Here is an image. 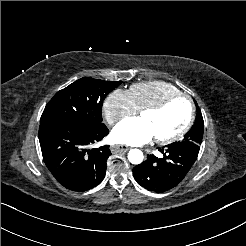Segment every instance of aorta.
Wrapping results in <instances>:
<instances>
[{
  "label": "aorta",
  "mask_w": 246,
  "mask_h": 246,
  "mask_svg": "<svg viewBox=\"0 0 246 246\" xmlns=\"http://www.w3.org/2000/svg\"><path fill=\"white\" fill-rule=\"evenodd\" d=\"M143 152L139 149H132L128 153V160L130 163L138 165L143 161Z\"/></svg>",
  "instance_id": "aorta-1"
}]
</instances>
